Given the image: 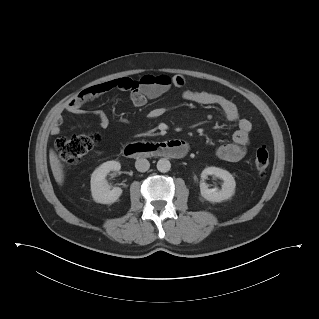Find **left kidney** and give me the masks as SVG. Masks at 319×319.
Listing matches in <instances>:
<instances>
[{"mask_svg": "<svg viewBox=\"0 0 319 319\" xmlns=\"http://www.w3.org/2000/svg\"><path fill=\"white\" fill-rule=\"evenodd\" d=\"M208 175H214L224 181L221 190L209 189L204 180ZM200 192L203 198L210 202H222L230 199L235 193L236 182L231 173L218 167H207L201 173Z\"/></svg>", "mask_w": 319, "mask_h": 319, "instance_id": "1", "label": "left kidney"}]
</instances>
